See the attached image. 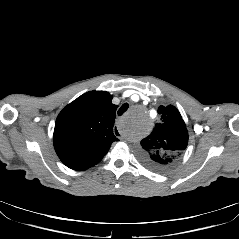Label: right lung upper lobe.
<instances>
[{
	"instance_id": "cb5924a9",
	"label": "right lung upper lobe",
	"mask_w": 239,
	"mask_h": 239,
	"mask_svg": "<svg viewBox=\"0 0 239 239\" xmlns=\"http://www.w3.org/2000/svg\"><path fill=\"white\" fill-rule=\"evenodd\" d=\"M117 105L106 91L85 93L67 105L55 122L53 143L69 168L86 170L102 160L112 142Z\"/></svg>"
}]
</instances>
